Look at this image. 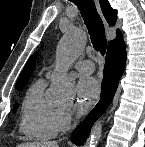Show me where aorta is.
Here are the masks:
<instances>
[{
  "label": "aorta",
  "instance_id": "1",
  "mask_svg": "<svg viewBox=\"0 0 145 147\" xmlns=\"http://www.w3.org/2000/svg\"><path fill=\"white\" fill-rule=\"evenodd\" d=\"M86 35L83 30L71 27L61 38L57 48V68L52 78L50 97L55 101H65L73 95V85L67 77V67L83 52ZM102 134V121L93 126L84 147H96Z\"/></svg>",
  "mask_w": 145,
  "mask_h": 147
}]
</instances>
